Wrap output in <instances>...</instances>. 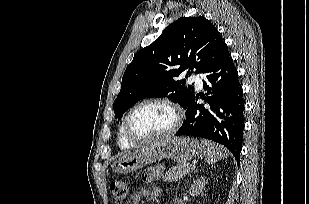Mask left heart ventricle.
Listing matches in <instances>:
<instances>
[{
    "label": "left heart ventricle",
    "mask_w": 309,
    "mask_h": 204,
    "mask_svg": "<svg viewBox=\"0 0 309 204\" xmlns=\"http://www.w3.org/2000/svg\"><path fill=\"white\" fill-rule=\"evenodd\" d=\"M173 111L162 104H148L132 116L130 128L138 136H155L165 132L173 123Z\"/></svg>",
    "instance_id": "1"
}]
</instances>
